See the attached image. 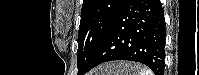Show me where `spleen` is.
I'll return each mask as SVG.
<instances>
[{
  "label": "spleen",
  "instance_id": "obj_1",
  "mask_svg": "<svg viewBox=\"0 0 199 75\" xmlns=\"http://www.w3.org/2000/svg\"><path fill=\"white\" fill-rule=\"evenodd\" d=\"M136 67L140 69L138 75H153V72L148 68L141 67L139 65H137Z\"/></svg>",
  "mask_w": 199,
  "mask_h": 75
}]
</instances>
